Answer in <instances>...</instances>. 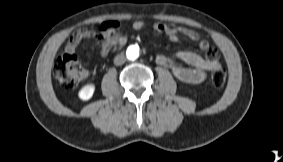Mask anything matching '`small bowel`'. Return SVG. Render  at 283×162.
<instances>
[{
    "label": "small bowel",
    "instance_id": "c3829d8e",
    "mask_svg": "<svg viewBox=\"0 0 283 162\" xmlns=\"http://www.w3.org/2000/svg\"><path fill=\"white\" fill-rule=\"evenodd\" d=\"M147 26L148 24L145 21L137 20L132 23L131 28L135 31H140ZM151 28L171 42H178L181 36H185L197 42L199 48L205 52L203 56L192 51H178L173 58L162 54L156 56V62L170 69L179 81L190 84L202 83L209 71L221 66L218 61L217 50L210 48L209 43L199 32L166 23H154L151 25ZM93 38H96L101 43V55L103 57H106L113 47L123 46L127 42V37L119 31V23L116 21H106L101 25V33L99 35H96L91 29L76 30L65 45V53L74 54L83 39ZM182 63H185L187 66Z\"/></svg>",
    "mask_w": 283,
    "mask_h": 162
}]
</instances>
